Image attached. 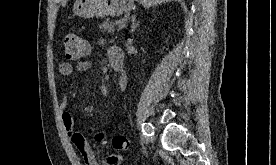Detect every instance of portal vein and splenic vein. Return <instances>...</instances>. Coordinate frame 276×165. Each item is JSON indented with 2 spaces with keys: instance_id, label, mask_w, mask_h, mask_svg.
<instances>
[{
  "instance_id": "portal-vein-and-splenic-vein-1",
  "label": "portal vein and splenic vein",
  "mask_w": 276,
  "mask_h": 165,
  "mask_svg": "<svg viewBox=\"0 0 276 165\" xmlns=\"http://www.w3.org/2000/svg\"><path fill=\"white\" fill-rule=\"evenodd\" d=\"M116 24H118V28H119V29H123L124 27H126V23L123 22V21H119V22H117Z\"/></svg>"
}]
</instances>
